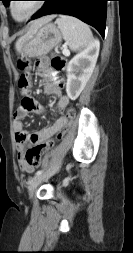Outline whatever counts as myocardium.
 Here are the masks:
<instances>
[{"mask_svg":"<svg viewBox=\"0 0 133 253\" xmlns=\"http://www.w3.org/2000/svg\"><path fill=\"white\" fill-rule=\"evenodd\" d=\"M15 1H11L9 3V11H10V14L12 16V18L16 21V22H24L28 19H30L31 17H33L43 6V2L42 0H36L35 1V5L34 7L32 8V10L24 17L22 18H17L14 14V11H13V4H14Z\"/></svg>","mask_w":133,"mask_h":253,"instance_id":"myocardium-1","label":"myocardium"}]
</instances>
